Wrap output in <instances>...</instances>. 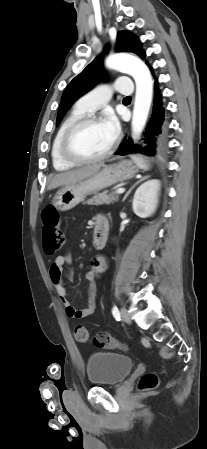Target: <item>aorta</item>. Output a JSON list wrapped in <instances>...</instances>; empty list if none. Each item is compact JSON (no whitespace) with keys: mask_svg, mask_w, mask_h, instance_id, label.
<instances>
[{"mask_svg":"<svg viewBox=\"0 0 207 449\" xmlns=\"http://www.w3.org/2000/svg\"><path fill=\"white\" fill-rule=\"evenodd\" d=\"M109 69L118 70L131 75L136 83V95L132 116V131L140 135L144 129L149 114L153 80L148 67L139 58L127 54H114L106 59Z\"/></svg>","mask_w":207,"mask_h":449,"instance_id":"762f6f07","label":"aorta"}]
</instances>
